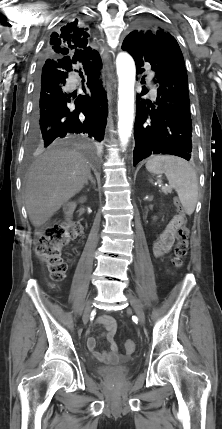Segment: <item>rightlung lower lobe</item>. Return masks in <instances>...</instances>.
Masks as SVG:
<instances>
[{"instance_id":"obj_1","label":"right lung lower lobe","mask_w":222,"mask_h":429,"mask_svg":"<svg viewBox=\"0 0 222 429\" xmlns=\"http://www.w3.org/2000/svg\"><path fill=\"white\" fill-rule=\"evenodd\" d=\"M76 63L69 57L48 58L41 64L36 81V98L31 120V136L45 147L72 142L85 134L102 141L107 118V97L99 79L100 56L83 62L88 75V94L73 95L66 89L68 72ZM86 91V90H85ZM74 99L75 106L70 103Z\"/></svg>"}]
</instances>
